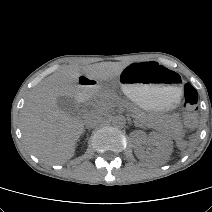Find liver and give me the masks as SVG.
Masks as SVG:
<instances>
[{"label":"liver","mask_w":212,"mask_h":212,"mask_svg":"<svg viewBox=\"0 0 212 212\" xmlns=\"http://www.w3.org/2000/svg\"><path fill=\"white\" fill-rule=\"evenodd\" d=\"M126 66L123 62H102L81 69L65 66L45 78L32 91L21 111L22 136L29 151L44 164H61L71 159L84 122L63 112L57 98L76 97L82 74L97 81H109L118 78Z\"/></svg>","instance_id":"1"}]
</instances>
